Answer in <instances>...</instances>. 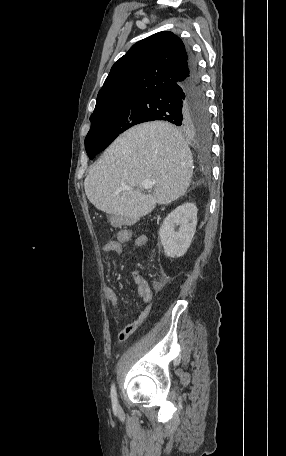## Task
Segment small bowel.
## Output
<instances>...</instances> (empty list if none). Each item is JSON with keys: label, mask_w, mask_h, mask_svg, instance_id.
<instances>
[{"label": "small bowel", "mask_w": 286, "mask_h": 456, "mask_svg": "<svg viewBox=\"0 0 286 456\" xmlns=\"http://www.w3.org/2000/svg\"><path fill=\"white\" fill-rule=\"evenodd\" d=\"M131 233L129 230H120L116 234V238L108 240L103 245V252L109 255H120L123 252L122 244L130 240ZM147 236L141 234L135 239V246L143 248L147 244ZM133 283L136 285V293L142 299V310L136 320L126 325L119 333V340L124 341L142 324L148 317L153 299V291L148 282L143 278L142 274L134 271L131 274ZM105 296L109 304L118 312V295L112 288L105 289ZM117 322V318H113Z\"/></svg>", "instance_id": "1"}]
</instances>
